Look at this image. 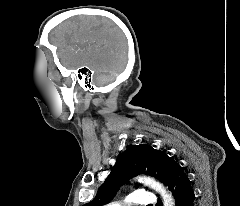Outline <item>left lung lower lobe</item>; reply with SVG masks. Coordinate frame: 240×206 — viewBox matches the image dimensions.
I'll use <instances>...</instances> for the list:
<instances>
[{
  "label": "left lung lower lobe",
  "mask_w": 240,
  "mask_h": 206,
  "mask_svg": "<svg viewBox=\"0 0 240 206\" xmlns=\"http://www.w3.org/2000/svg\"><path fill=\"white\" fill-rule=\"evenodd\" d=\"M166 185L175 198L176 206H194L195 194L188 176L183 168L177 163H173L168 174ZM156 206H161L160 202Z\"/></svg>",
  "instance_id": "left-lung-lower-lobe-1"
}]
</instances>
